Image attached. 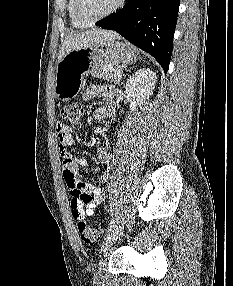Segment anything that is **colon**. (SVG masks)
Segmentation results:
<instances>
[{
	"instance_id": "1",
	"label": "colon",
	"mask_w": 233,
	"mask_h": 286,
	"mask_svg": "<svg viewBox=\"0 0 233 286\" xmlns=\"http://www.w3.org/2000/svg\"><path fill=\"white\" fill-rule=\"evenodd\" d=\"M84 115L83 105L79 102H74L64 106L61 110V117L73 127H79ZM77 229L80 237L86 244L96 243L101 237V231L89 226L81 218L77 223Z\"/></svg>"
}]
</instances>
